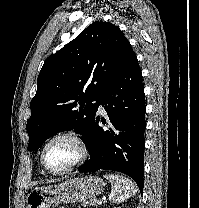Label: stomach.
Masks as SVG:
<instances>
[{"label": "stomach", "mask_w": 199, "mask_h": 208, "mask_svg": "<svg viewBox=\"0 0 199 208\" xmlns=\"http://www.w3.org/2000/svg\"><path fill=\"white\" fill-rule=\"evenodd\" d=\"M104 181L96 176L77 177L65 182L36 187L26 197V208H50L59 203L80 202L103 193Z\"/></svg>", "instance_id": "0dacf381"}]
</instances>
